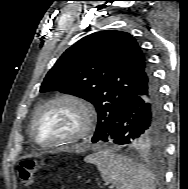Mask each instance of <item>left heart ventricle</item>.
<instances>
[{"instance_id": "obj_1", "label": "left heart ventricle", "mask_w": 188, "mask_h": 189, "mask_svg": "<svg viewBox=\"0 0 188 189\" xmlns=\"http://www.w3.org/2000/svg\"><path fill=\"white\" fill-rule=\"evenodd\" d=\"M81 117L76 107L57 104L48 107L36 124V136L42 142H51L72 136L80 127Z\"/></svg>"}]
</instances>
